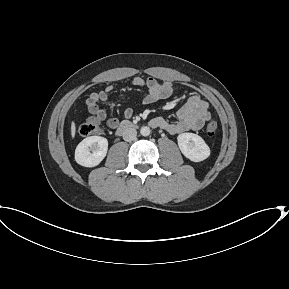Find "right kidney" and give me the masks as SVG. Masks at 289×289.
<instances>
[{"label": "right kidney", "mask_w": 289, "mask_h": 289, "mask_svg": "<svg viewBox=\"0 0 289 289\" xmlns=\"http://www.w3.org/2000/svg\"><path fill=\"white\" fill-rule=\"evenodd\" d=\"M108 141L104 137L90 136L82 140L75 150V161L84 167H94L105 158Z\"/></svg>", "instance_id": "obj_1"}]
</instances>
